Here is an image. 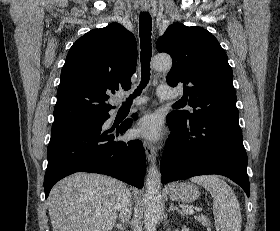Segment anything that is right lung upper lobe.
<instances>
[{
  "label": "right lung upper lobe",
  "instance_id": "cb5924a9",
  "mask_svg": "<svg viewBox=\"0 0 280 231\" xmlns=\"http://www.w3.org/2000/svg\"><path fill=\"white\" fill-rule=\"evenodd\" d=\"M134 35L118 23L84 34L70 48L61 72L53 124L108 114L106 92L131 88L136 70Z\"/></svg>",
  "mask_w": 280,
  "mask_h": 231
}]
</instances>
